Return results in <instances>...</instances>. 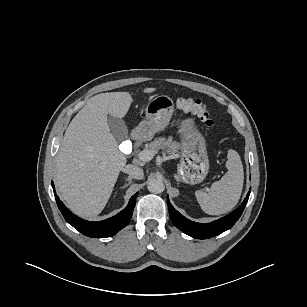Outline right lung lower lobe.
Returning <instances> with one entry per match:
<instances>
[{"label":"right lung lower lobe","instance_id":"1","mask_svg":"<svg viewBox=\"0 0 307 307\" xmlns=\"http://www.w3.org/2000/svg\"><path fill=\"white\" fill-rule=\"evenodd\" d=\"M52 187L54 188V184L52 182ZM55 199L60 209L62 215L65 220L72 225L75 229H77L82 234L89 237H97V238H105L110 237L116 234L120 229L125 227L131 217L132 212L135 207V199L138 193L134 194L127 205V207L122 210L117 215L103 220L99 222H90L83 220L77 216H75L69 209H67L64 204L60 201L59 197L56 195V191L54 190Z\"/></svg>","mask_w":307,"mask_h":307}]
</instances>
